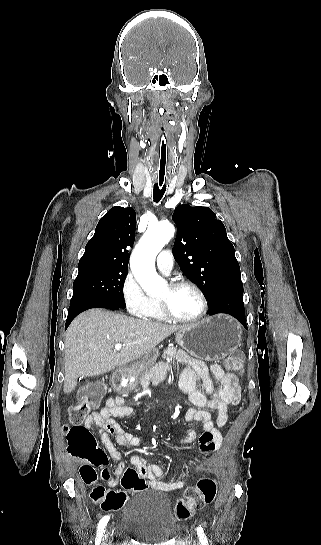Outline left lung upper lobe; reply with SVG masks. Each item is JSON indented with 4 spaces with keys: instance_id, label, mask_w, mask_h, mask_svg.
<instances>
[{
    "instance_id": "5c2ea615",
    "label": "left lung upper lobe",
    "mask_w": 321,
    "mask_h": 545,
    "mask_svg": "<svg viewBox=\"0 0 321 545\" xmlns=\"http://www.w3.org/2000/svg\"><path fill=\"white\" fill-rule=\"evenodd\" d=\"M208 207L178 206L172 219L178 232L174 255L181 271L207 300L223 287L241 282L240 267L224 224Z\"/></svg>"
}]
</instances>
